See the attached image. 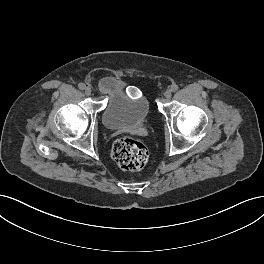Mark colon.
<instances>
[{"mask_svg": "<svg viewBox=\"0 0 264 264\" xmlns=\"http://www.w3.org/2000/svg\"><path fill=\"white\" fill-rule=\"evenodd\" d=\"M112 157L121 169L135 172L145 167L149 152L141 141L122 137L114 143Z\"/></svg>", "mask_w": 264, "mask_h": 264, "instance_id": "1", "label": "colon"}]
</instances>
